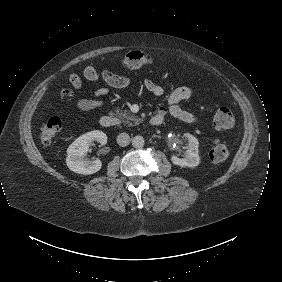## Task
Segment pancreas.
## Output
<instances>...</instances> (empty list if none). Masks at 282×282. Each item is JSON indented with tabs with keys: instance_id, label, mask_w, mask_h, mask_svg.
I'll use <instances>...</instances> for the list:
<instances>
[{
	"instance_id": "1",
	"label": "pancreas",
	"mask_w": 282,
	"mask_h": 282,
	"mask_svg": "<svg viewBox=\"0 0 282 282\" xmlns=\"http://www.w3.org/2000/svg\"><path fill=\"white\" fill-rule=\"evenodd\" d=\"M116 115L120 119V121L124 124H131V121L134 122L135 125H138L139 123L143 122V118H138L134 116L130 111L127 110H116Z\"/></svg>"
}]
</instances>
